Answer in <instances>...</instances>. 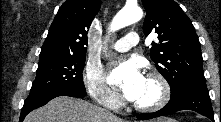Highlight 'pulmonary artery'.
Segmentation results:
<instances>
[{"mask_svg": "<svg viewBox=\"0 0 221 122\" xmlns=\"http://www.w3.org/2000/svg\"><path fill=\"white\" fill-rule=\"evenodd\" d=\"M139 42V35L136 32H130L112 45V49L117 52H126Z\"/></svg>", "mask_w": 221, "mask_h": 122, "instance_id": "e3ab8cb5", "label": "pulmonary artery"}]
</instances>
